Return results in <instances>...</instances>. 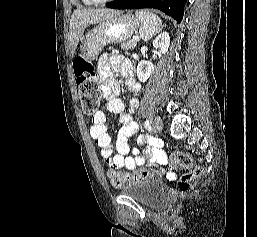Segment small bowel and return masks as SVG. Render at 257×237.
Instances as JSON below:
<instances>
[{
  "mask_svg": "<svg viewBox=\"0 0 257 237\" xmlns=\"http://www.w3.org/2000/svg\"><path fill=\"white\" fill-rule=\"evenodd\" d=\"M112 69H117L119 73L127 78V87L130 92L137 93L140 86L132 78L133 66L129 60H125L117 51H109L103 54L98 62V71L103 82L102 93L105 99L106 109L119 115L118 125L119 134L116 140V154H114L111 138L107 133V119L103 111H98L93 116V124L90 127V136L100 148L101 157L115 168H125L133 170L146 161V156L154 166L167 165L165 153L160 148V142L157 139L140 138L139 143L149 145L142 150L133 149L132 155H129L131 149L129 139L135 136L139 131V125L133 119V114L138 108L139 100L133 97L125 111V105L122 100L115 97L119 91L118 83L112 78ZM171 177H173L171 175Z\"/></svg>",
  "mask_w": 257,
  "mask_h": 237,
  "instance_id": "1",
  "label": "small bowel"
}]
</instances>
